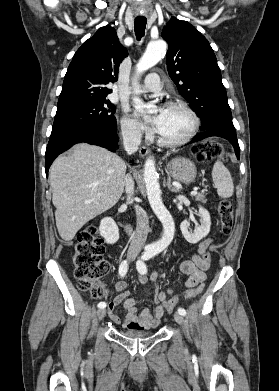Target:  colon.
<instances>
[{
    "mask_svg": "<svg viewBox=\"0 0 279 391\" xmlns=\"http://www.w3.org/2000/svg\"><path fill=\"white\" fill-rule=\"evenodd\" d=\"M192 151L199 162H208L225 156L222 144L212 140L195 145ZM217 210L221 232L227 236L234 226L233 206L229 200L222 199L218 203ZM104 250L103 239L95 226L88 227L78 234L72 255L74 276L78 287L90 292L93 298H100L105 293L104 288L98 282L99 278L108 270V263L103 258ZM203 258L205 261L211 262V256L208 252L204 253ZM197 294L198 289L193 287L188 288L182 295L172 297L167 302V312L171 313L182 298H193Z\"/></svg>",
    "mask_w": 279,
    "mask_h": 391,
    "instance_id": "obj_1",
    "label": "colon"
}]
</instances>
